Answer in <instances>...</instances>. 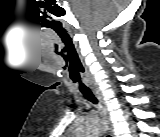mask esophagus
Returning a JSON list of instances; mask_svg holds the SVG:
<instances>
[{
  "label": "esophagus",
  "mask_w": 160,
  "mask_h": 137,
  "mask_svg": "<svg viewBox=\"0 0 160 137\" xmlns=\"http://www.w3.org/2000/svg\"><path fill=\"white\" fill-rule=\"evenodd\" d=\"M95 96L97 97V99L99 100V102L101 103V108H102V115H103V120L106 124V127L108 129L109 134L114 137V130H113V126L110 120V116L107 110L106 105L104 104V101L102 99V96L100 93L95 92Z\"/></svg>",
  "instance_id": "34e87169"
}]
</instances>
